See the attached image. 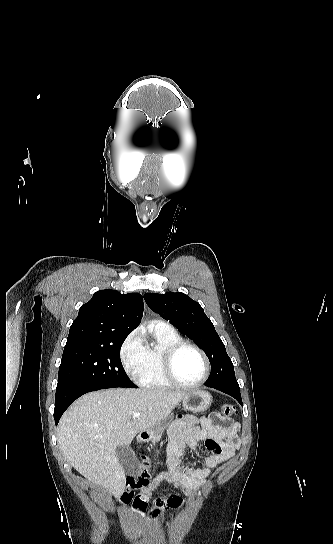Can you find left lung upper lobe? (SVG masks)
I'll return each instance as SVG.
<instances>
[{
	"label": "left lung upper lobe",
	"instance_id": "obj_1",
	"mask_svg": "<svg viewBox=\"0 0 333 544\" xmlns=\"http://www.w3.org/2000/svg\"><path fill=\"white\" fill-rule=\"evenodd\" d=\"M144 299L151 310L188 335L206 353L211 364L206 386L239 388L225 346L198 302L182 292L146 293Z\"/></svg>",
	"mask_w": 333,
	"mask_h": 544
}]
</instances>
